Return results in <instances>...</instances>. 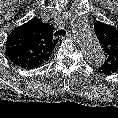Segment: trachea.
<instances>
[{"label":"trachea","instance_id":"obj_1","mask_svg":"<svg viewBox=\"0 0 118 118\" xmlns=\"http://www.w3.org/2000/svg\"><path fill=\"white\" fill-rule=\"evenodd\" d=\"M66 31L65 30H58L54 33V36H65Z\"/></svg>","mask_w":118,"mask_h":118}]
</instances>
